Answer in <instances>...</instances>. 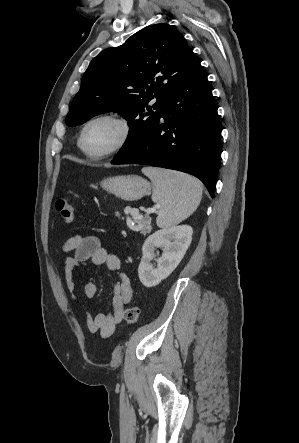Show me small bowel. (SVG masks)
Wrapping results in <instances>:
<instances>
[{
  "instance_id": "small-bowel-1",
  "label": "small bowel",
  "mask_w": 299,
  "mask_h": 443,
  "mask_svg": "<svg viewBox=\"0 0 299 443\" xmlns=\"http://www.w3.org/2000/svg\"><path fill=\"white\" fill-rule=\"evenodd\" d=\"M64 252L73 251V255L64 261V273L66 279V289L73 300L75 295L74 271L81 265L91 262L95 266L105 265L108 270L118 275V281L114 287L112 297V309L108 313H97L96 315L86 314V327L91 333H99L102 339H109L113 336L117 325L123 319L124 308L133 297V289L130 279L122 272L121 260L109 252L100 242L99 238L93 235L81 236L75 234L66 240L62 246ZM85 296L93 299L97 292L94 282L89 281L84 288Z\"/></svg>"
}]
</instances>
